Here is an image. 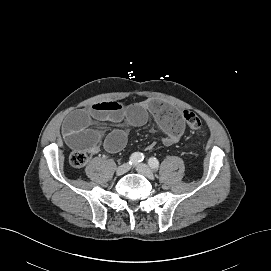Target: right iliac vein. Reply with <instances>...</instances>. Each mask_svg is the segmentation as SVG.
Wrapping results in <instances>:
<instances>
[{"label": "right iliac vein", "mask_w": 271, "mask_h": 271, "mask_svg": "<svg viewBox=\"0 0 271 271\" xmlns=\"http://www.w3.org/2000/svg\"><path fill=\"white\" fill-rule=\"evenodd\" d=\"M129 170H130V165L128 163H125L117 168L116 174L118 176H121V175H124L125 173H127Z\"/></svg>", "instance_id": "right-iliac-vein-1"}]
</instances>
